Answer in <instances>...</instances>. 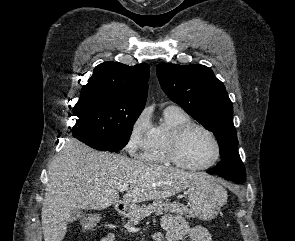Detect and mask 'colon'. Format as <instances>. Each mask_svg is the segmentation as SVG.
I'll list each match as a JSON object with an SVG mask.
<instances>
[{
	"label": "colon",
	"mask_w": 295,
	"mask_h": 241,
	"mask_svg": "<svg viewBox=\"0 0 295 241\" xmlns=\"http://www.w3.org/2000/svg\"><path fill=\"white\" fill-rule=\"evenodd\" d=\"M96 224V220L93 217H88L86 219V226L87 227H92Z\"/></svg>",
	"instance_id": "1"
}]
</instances>
